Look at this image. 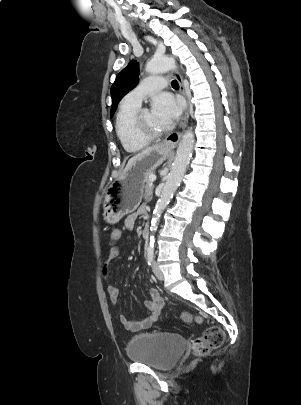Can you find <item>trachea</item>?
Here are the masks:
<instances>
[{"mask_svg":"<svg viewBox=\"0 0 301 405\" xmlns=\"http://www.w3.org/2000/svg\"><path fill=\"white\" fill-rule=\"evenodd\" d=\"M172 87H173L174 89H178V88H179V84H178V81H177V80H173V81H172Z\"/></svg>","mask_w":301,"mask_h":405,"instance_id":"trachea-1","label":"trachea"}]
</instances>
